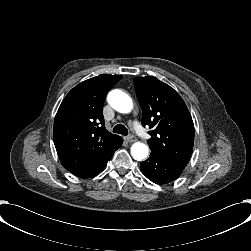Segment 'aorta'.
I'll use <instances>...</instances> for the list:
<instances>
[{
    "mask_svg": "<svg viewBox=\"0 0 251 251\" xmlns=\"http://www.w3.org/2000/svg\"><path fill=\"white\" fill-rule=\"evenodd\" d=\"M107 101L110 106L120 113H129L133 108L132 99L128 94L119 89L108 93ZM149 148L146 144L135 142L131 146V155L135 160L142 161L147 158Z\"/></svg>",
    "mask_w": 251,
    "mask_h": 251,
    "instance_id": "762f6f07",
    "label": "aorta"
}]
</instances>
